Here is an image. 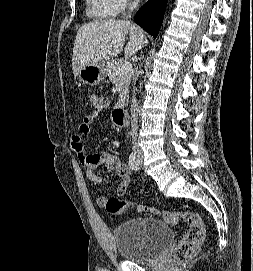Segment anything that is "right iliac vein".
<instances>
[{
    "mask_svg": "<svg viewBox=\"0 0 253 271\" xmlns=\"http://www.w3.org/2000/svg\"><path fill=\"white\" fill-rule=\"evenodd\" d=\"M137 156H138V157H141V154H140V153H137Z\"/></svg>",
    "mask_w": 253,
    "mask_h": 271,
    "instance_id": "obj_1",
    "label": "right iliac vein"
}]
</instances>
